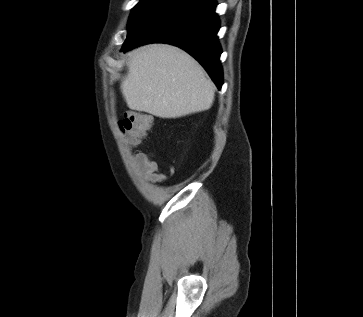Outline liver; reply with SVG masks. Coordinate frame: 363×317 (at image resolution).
Listing matches in <instances>:
<instances>
[{"label": "liver", "mask_w": 363, "mask_h": 317, "mask_svg": "<svg viewBox=\"0 0 363 317\" xmlns=\"http://www.w3.org/2000/svg\"><path fill=\"white\" fill-rule=\"evenodd\" d=\"M127 106L160 118H179L208 110L214 84L202 67L183 50L151 44L131 52L121 83Z\"/></svg>", "instance_id": "6515ba94"}]
</instances>
